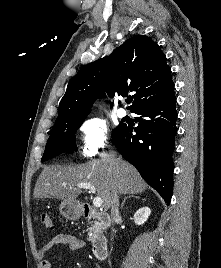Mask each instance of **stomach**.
Wrapping results in <instances>:
<instances>
[{
	"label": "stomach",
	"instance_id": "obj_1",
	"mask_svg": "<svg viewBox=\"0 0 221 268\" xmlns=\"http://www.w3.org/2000/svg\"><path fill=\"white\" fill-rule=\"evenodd\" d=\"M63 217L69 220H77L82 215V205L79 201L63 200L59 207Z\"/></svg>",
	"mask_w": 221,
	"mask_h": 268
}]
</instances>
